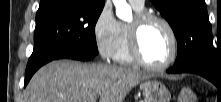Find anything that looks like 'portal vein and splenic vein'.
Listing matches in <instances>:
<instances>
[{"label": "portal vein and splenic vein", "mask_w": 221, "mask_h": 102, "mask_svg": "<svg viewBox=\"0 0 221 102\" xmlns=\"http://www.w3.org/2000/svg\"><path fill=\"white\" fill-rule=\"evenodd\" d=\"M90 102H96V97L91 98Z\"/></svg>", "instance_id": "obj_1"}]
</instances>
